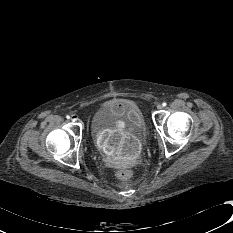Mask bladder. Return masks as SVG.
I'll return each instance as SVG.
<instances>
[{
    "instance_id": "31cf9c89",
    "label": "bladder",
    "mask_w": 233,
    "mask_h": 233,
    "mask_svg": "<svg viewBox=\"0 0 233 233\" xmlns=\"http://www.w3.org/2000/svg\"><path fill=\"white\" fill-rule=\"evenodd\" d=\"M91 123L104 131L121 130L123 133L141 134L147 130L137 106L124 102L121 108L112 104L101 105L94 113Z\"/></svg>"
}]
</instances>
